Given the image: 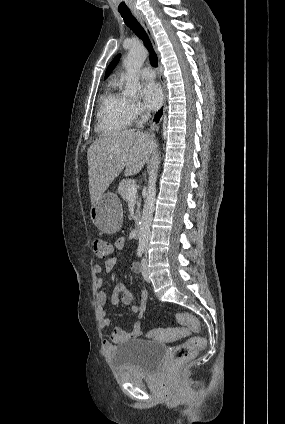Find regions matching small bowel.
I'll list each match as a JSON object with an SVG mask.
<instances>
[{
    "label": "small bowel",
    "mask_w": 285,
    "mask_h": 424,
    "mask_svg": "<svg viewBox=\"0 0 285 424\" xmlns=\"http://www.w3.org/2000/svg\"><path fill=\"white\" fill-rule=\"evenodd\" d=\"M118 252L123 251L125 248V239L123 237L118 238L114 244ZM118 263V256H113L108 258L104 263V270L106 272H111ZM131 269L134 273L140 272V263L135 262L131 265ZM94 272L98 276L97 278V305L100 310L101 315V324L103 327H108L110 325V319L106 314L105 307L108 303L116 306L120 302L124 305H131L133 302L132 293L123 285L117 284L112 290L110 296H107L104 290V283L100 274L102 273V267L100 265L94 266ZM148 294L144 284L142 283L141 290V302L132 306L133 312L142 318L145 314L147 308ZM189 331L185 330V336L188 335ZM142 334V328L139 321H136L133 324L131 330L126 331L121 327H115L111 332L110 339H104L102 341V350L106 356L112 355L115 348L123 342L139 337Z\"/></svg>",
    "instance_id": "small-bowel-1"
}]
</instances>
